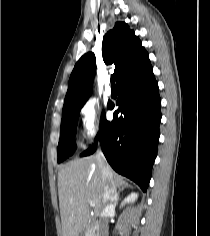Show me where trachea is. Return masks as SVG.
I'll return each mask as SVG.
<instances>
[{"label": "trachea", "instance_id": "3493384b", "mask_svg": "<svg viewBox=\"0 0 210 236\" xmlns=\"http://www.w3.org/2000/svg\"><path fill=\"white\" fill-rule=\"evenodd\" d=\"M115 80H116L115 74L111 75V86H112L113 88L116 87V85H115Z\"/></svg>", "mask_w": 210, "mask_h": 236}]
</instances>
